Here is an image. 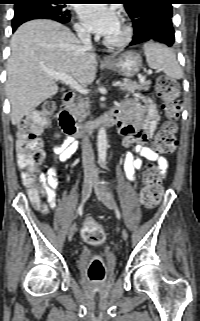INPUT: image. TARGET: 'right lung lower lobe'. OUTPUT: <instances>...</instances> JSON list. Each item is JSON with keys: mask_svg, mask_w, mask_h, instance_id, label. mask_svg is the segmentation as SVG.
<instances>
[{"mask_svg": "<svg viewBox=\"0 0 200 321\" xmlns=\"http://www.w3.org/2000/svg\"><path fill=\"white\" fill-rule=\"evenodd\" d=\"M33 19H51L62 24L70 21V16L58 15L44 8H23L15 10L12 19V31L14 32L22 23Z\"/></svg>", "mask_w": 200, "mask_h": 321, "instance_id": "obj_1", "label": "right lung lower lobe"}]
</instances>
